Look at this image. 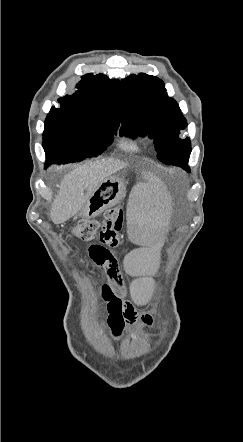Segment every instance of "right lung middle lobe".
<instances>
[{
	"label": "right lung middle lobe",
	"mask_w": 243,
	"mask_h": 442,
	"mask_svg": "<svg viewBox=\"0 0 243 442\" xmlns=\"http://www.w3.org/2000/svg\"><path fill=\"white\" fill-rule=\"evenodd\" d=\"M43 148L48 163H69L101 154L118 124L52 107L44 123Z\"/></svg>",
	"instance_id": "dd1d6c3e"
}]
</instances>
